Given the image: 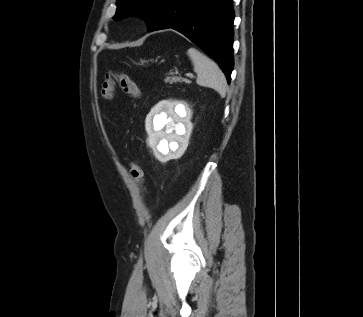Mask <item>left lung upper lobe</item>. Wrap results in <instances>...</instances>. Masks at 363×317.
<instances>
[{"label": "left lung upper lobe", "mask_w": 363, "mask_h": 317, "mask_svg": "<svg viewBox=\"0 0 363 317\" xmlns=\"http://www.w3.org/2000/svg\"><path fill=\"white\" fill-rule=\"evenodd\" d=\"M164 0H117V12L113 19L139 14L147 20L148 27L154 21Z\"/></svg>", "instance_id": "5c2ea615"}]
</instances>
